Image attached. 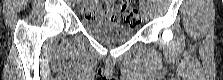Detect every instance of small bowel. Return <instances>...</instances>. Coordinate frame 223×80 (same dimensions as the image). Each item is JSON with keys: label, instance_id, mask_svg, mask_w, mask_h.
<instances>
[{"label": "small bowel", "instance_id": "1", "mask_svg": "<svg viewBox=\"0 0 223 80\" xmlns=\"http://www.w3.org/2000/svg\"><path fill=\"white\" fill-rule=\"evenodd\" d=\"M114 8L115 5L113 4V1H107L105 7L95 3H87L83 8L82 13L85 17L91 19H107L110 21H116L121 17L115 13Z\"/></svg>", "mask_w": 223, "mask_h": 80}]
</instances>
